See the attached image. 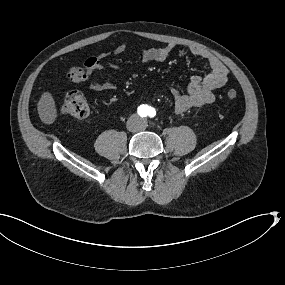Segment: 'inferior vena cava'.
I'll return each instance as SVG.
<instances>
[{
  "label": "inferior vena cava",
  "mask_w": 285,
  "mask_h": 285,
  "mask_svg": "<svg viewBox=\"0 0 285 285\" xmlns=\"http://www.w3.org/2000/svg\"><path fill=\"white\" fill-rule=\"evenodd\" d=\"M143 126L144 125L142 121L139 118H137V120L127 125V129L131 132H137L140 131L143 128Z\"/></svg>",
  "instance_id": "inferior-vena-cava-1"
}]
</instances>
